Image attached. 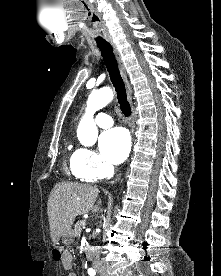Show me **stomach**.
I'll return each instance as SVG.
<instances>
[{
    "instance_id": "obj_1",
    "label": "stomach",
    "mask_w": 221,
    "mask_h": 276,
    "mask_svg": "<svg viewBox=\"0 0 221 276\" xmlns=\"http://www.w3.org/2000/svg\"><path fill=\"white\" fill-rule=\"evenodd\" d=\"M74 232L73 230H69L68 232H66L63 236H62V243L65 245H70L73 243L74 241Z\"/></svg>"
}]
</instances>
